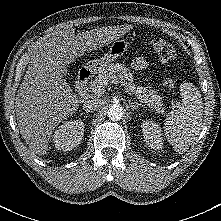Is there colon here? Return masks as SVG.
<instances>
[{"mask_svg": "<svg viewBox=\"0 0 221 221\" xmlns=\"http://www.w3.org/2000/svg\"><path fill=\"white\" fill-rule=\"evenodd\" d=\"M150 48L156 53L160 61L169 62L176 57V50L172 44L159 37H151L148 41ZM161 84L166 90H173L176 80L172 76L163 77Z\"/></svg>", "mask_w": 221, "mask_h": 221, "instance_id": "5ec220e1", "label": "colon"}]
</instances>
